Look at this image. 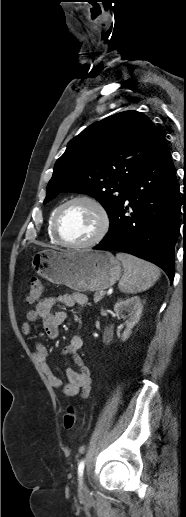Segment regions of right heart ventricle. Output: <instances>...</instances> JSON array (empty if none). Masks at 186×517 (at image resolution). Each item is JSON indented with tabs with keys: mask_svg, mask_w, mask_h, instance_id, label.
Wrapping results in <instances>:
<instances>
[{
	"mask_svg": "<svg viewBox=\"0 0 186 517\" xmlns=\"http://www.w3.org/2000/svg\"><path fill=\"white\" fill-rule=\"evenodd\" d=\"M57 208H55L50 216H49V219H48V225H47V232H48V236H49V239L52 243L54 244H59L58 241L55 239L54 235H53V231H52V219H53V216L56 212Z\"/></svg>",
	"mask_w": 186,
	"mask_h": 517,
	"instance_id": "1",
	"label": "right heart ventricle"
}]
</instances>
